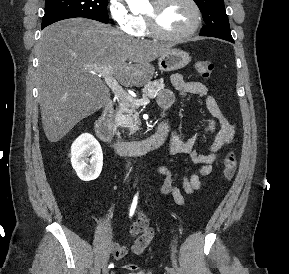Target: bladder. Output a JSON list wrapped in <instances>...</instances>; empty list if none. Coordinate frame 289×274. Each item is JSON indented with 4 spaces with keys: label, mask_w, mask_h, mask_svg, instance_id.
I'll list each match as a JSON object with an SVG mask.
<instances>
[{
    "label": "bladder",
    "mask_w": 289,
    "mask_h": 274,
    "mask_svg": "<svg viewBox=\"0 0 289 274\" xmlns=\"http://www.w3.org/2000/svg\"><path fill=\"white\" fill-rule=\"evenodd\" d=\"M128 274H142V273H128Z\"/></svg>",
    "instance_id": "obj_1"
}]
</instances>
